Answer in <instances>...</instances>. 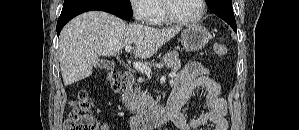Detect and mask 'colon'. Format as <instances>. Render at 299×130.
<instances>
[{"label": "colon", "mask_w": 299, "mask_h": 130, "mask_svg": "<svg viewBox=\"0 0 299 130\" xmlns=\"http://www.w3.org/2000/svg\"><path fill=\"white\" fill-rule=\"evenodd\" d=\"M214 51L216 55L224 57L227 55V47L220 43H215ZM106 81L114 90H118L123 85L125 78L119 71H109L105 75ZM92 98L86 91H81L78 100L72 104V109L64 124V130H103L102 124L92 115Z\"/></svg>", "instance_id": "5ec220e1"}]
</instances>
